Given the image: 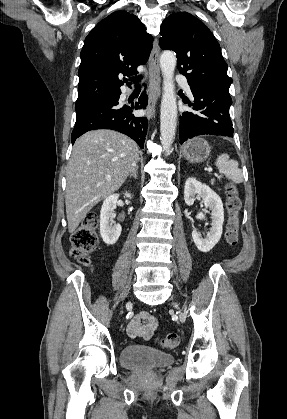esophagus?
Instances as JSON below:
<instances>
[{
  "label": "esophagus",
  "mask_w": 287,
  "mask_h": 419,
  "mask_svg": "<svg viewBox=\"0 0 287 419\" xmlns=\"http://www.w3.org/2000/svg\"><path fill=\"white\" fill-rule=\"evenodd\" d=\"M159 44L155 40L149 59V103L147 107V118L151 119L155 115L157 101L161 94V77L159 68Z\"/></svg>",
  "instance_id": "34e87169"
}]
</instances>
